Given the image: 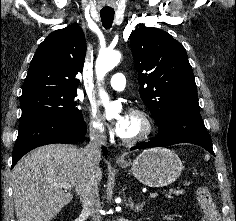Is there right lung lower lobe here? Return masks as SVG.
Masks as SVG:
<instances>
[{
  "instance_id": "obj_1",
  "label": "right lung lower lobe",
  "mask_w": 236,
  "mask_h": 221,
  "mask_svg": "<svg viewBox=\"0 0 236 221\" xmlns=\"http://www.w3.org/2000/svg\"><path fill=\"white\" fill-rule=\"evenodd\" d=\"M86 132L87 127L82 116L55 112H37L21 116L11 168L23 155L34 148L53 143H77L83 139ZM102 150L107 154L105 147Z\"/></svg>"
}]
</instances>
